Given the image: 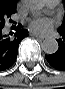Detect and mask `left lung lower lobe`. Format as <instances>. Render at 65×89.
Returning <instances> with one entry per match:
<instances>
[{"label":"left lung lower lobe","mask_w":65,"mask_h":89,"mask_svg":"<svg viewBox=\"0 0 65 89\" xmlns=\"http://www.w3.org/2000/svg\"><path fill=\"white\" fill-rule=\"evenodd\" d=\"M61 39L57 40L59 48L56 53L45 55L48 63L55 69L65 71V33H60Z\"/></svg>","instance_id":"0a47b994"}]
</instances>
